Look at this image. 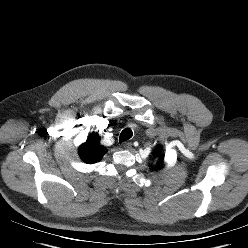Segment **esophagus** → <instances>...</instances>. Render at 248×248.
I'll return each mask as SVG.
<instances>
[{
	"label": "esophagus",
	"instance_id": "34e87169",
	"mask_svg": "<svg viewBox=\"0 0 248 248\" xmlns=\"http://www.w3.org/2000/svg\"><path fill=\"white\" fill-rule=\"evenodd\" d=\"M123 148L126 149V150L132 149V143L131 142L124 143Z\"/></svg>",
	"mask_w": 248,
	"mask_h": 248
}]
</instances>
